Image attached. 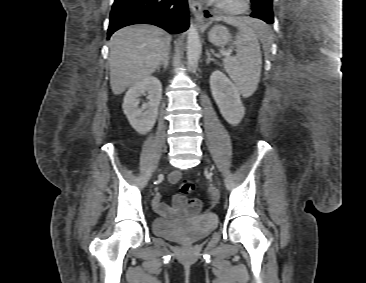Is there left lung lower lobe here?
<instances>
[{"mask_svg": "<svg viewBox=\"0 0 366 283\" xmlns=\"http://www.w3.org/2000/svg\"><path fill=\"white\" fill-rule=\"evenodd\" d=\"M212 15H210L209 13H208V11H205V17H211ZM251 17H253V18H257V16L256 15H254V14H251L250 15Z\"/></svg>", "mask_w": 366, "mask_h": 283, "instance_id": "left-lung-lower-lobe-1", "label": "left lung lower lobe"}]
</instances>
